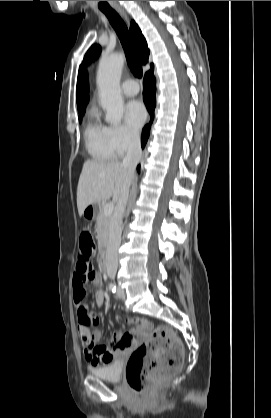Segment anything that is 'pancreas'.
<instances>
[{"instance_id": "cf45deb5", "label": "pancreas", "mask_w": 271, "mask_h": 418, "mask_svg": "<svg viewBox=\"0 0 271 418\" xmlns=\"http://www.w3.org/2000/svg\"><path fill=\"white\" fill-rule=\"evenodd\" d=\"M111 216L104 214V206L101 205L96 219V231L99 247L106 245L109 237Z\"/></svg>"}]
</instances>
